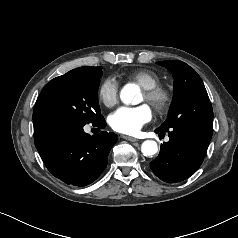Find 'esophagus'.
<instances>
[{
    "instance_id": "1",
    "label": "esophagus",
    "mask_w": 238,
    "mask_h": 238,
    "mask_svg": "<svg viewBox=\"0 0 238 238\" xmlns=\"http://www.w3.org/2000/svg\"><path fill=\"white\" fill-rule=\"evenodd\" d=\"M125 140L131 141V142H137L139 141L137 138L130 137V136H123Z\"/></svg>"
}]
</instances>
